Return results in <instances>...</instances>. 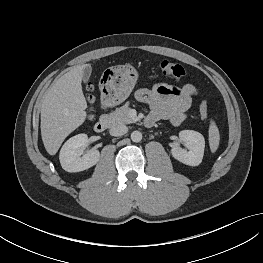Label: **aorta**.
<instances>
[{
	"mask_svg": "<svg viewBox=\"0 0 263 263\" xmlns=\"http://www.w3.org/2000/svg\"><path fill=\"white\" fill-rule=\"evenodd\" d=\"M131 140L136 143L140 142L142 140V133L139 131H133L131 133Z\"/></svg>",
	"mask_w": 263,
	"mask_h": 263,
	"instance_id": "1",
	"label": "aorta"
}]
</instances>
